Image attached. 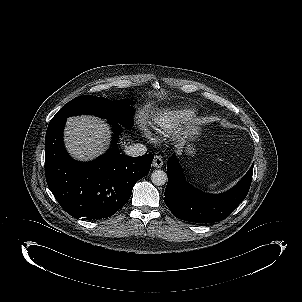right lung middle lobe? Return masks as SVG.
Returning <instances> with one entry per match:
<instances>
[{
  "label": "right lung middle lobe",
  "mask_w": 302,
  "mask_h": 302,
  "mask_svg": "<svg viewBox=\"0 0 302 302\" xmlns=\"http://www.w3.org/2000/svg\"><path fill=\"white\" fill-rule=\"evenodd\" d=\"M133 103L134 102L122 99L111 101L107 98L92 95L79 96L63 106L50 122L79 114H92L131 129L133 126L132 116L134 109L130 105Z\"/></svg>",
  "instance_id": "dd1d6c3e"
}]
</instances>
